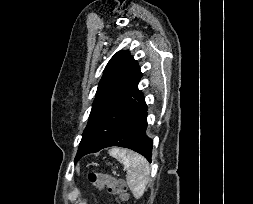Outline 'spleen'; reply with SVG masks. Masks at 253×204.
I'll use <instances>...</instances> for the list:
<instances>
[{
    "mask_svg": "<svg viewBox=\"0 0 253 204\" xmlns=\"http://www.w3.org/2000/svg\"><path fill=\"white\" fill-rule=\"evenodd\" d=\"M109 154L118 159L127 169V184L134 197L139 199L144 194L150 176L148 161L138 153L127 149L113 148Z\"/></svg>",
    "mask_w": 253,
    "mask_h": 204,
    "instance_id": "3e777b00",
    "label": "spleen"
}]
</instances>
